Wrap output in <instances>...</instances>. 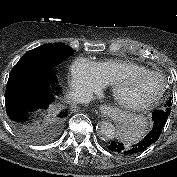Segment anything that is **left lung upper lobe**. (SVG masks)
<instances>
[{
  "mask_svg": "<svg viewBox=\"0 0 177 177\" xmlns=\"http://www.w3.org/2000/svg\"><path fill=\"white\" fill-rule=\"evenodd\" d=\"M173 102V101H172ZM171 98L166 102V104L163 107V110H168L171 111V106H172Z\"/></svg>",
  "mask_w": 177,
  "mask_h": 177,
  "instance_id": "5c2ea615",
  "label": "left lung upper lobe"
}]
</instances>
